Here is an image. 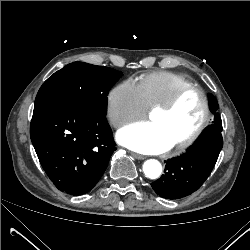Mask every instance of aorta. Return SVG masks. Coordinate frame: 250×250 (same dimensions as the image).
<instances>
[{"instance_id": "762f6f07", "label": "aorta", "mask_w": 250, "mask_h": 250, "mask_svg": "<svg viewBox=\"0 0 250 250\" xmlns=\"http://www.w3.org/2000/svg\"><path fill=\"white\" fill-rule=\"evenodd\" d=\"M143 172L146 177L150 179H156L161 175L162 172L161 163L155 159H149L143 164Z\"/></svg>"}]
</instances>
